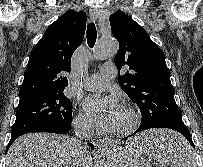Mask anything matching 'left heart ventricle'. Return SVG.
<instances>
[{
	"mask_svg": "<svg viewBox=\"0 0 203 167\" xmlns=\"http://www.w3.org/2000/svg\"><path fill=\"white\" fill-rule=\"evenodd\" d=\"M129 124V117L126 112H122L117 118L115 124L113 125L114 130L122 129Z\"/></svg>",
	"mask_w": 203,
	"mask_h": 167,
	"instance_id": "b2bd125f",
	"label": "left heart ventricle"
}]
</instances>
